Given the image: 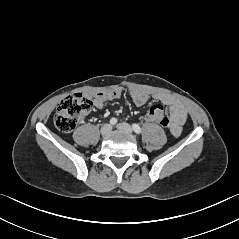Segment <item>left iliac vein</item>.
Listing matches in <instances>:
<instances>
[{
	"label": "left iliac vein",
	"instance_id": "left-iliac-vein-1",
	"mask_svg": "<svg viewBox=\"0 0 239 239\" xmlns=\"http://www.w3.org/2000/svg\"><path fill=\"white\" fill-rule=\"evenodd\" d=\"M116 128L126 133H132L133 131L132 127L127 123H119L116 125Z\"/></svg>",
	"mask_w": 239,
	"mask_h": 239
}]
</instances>
